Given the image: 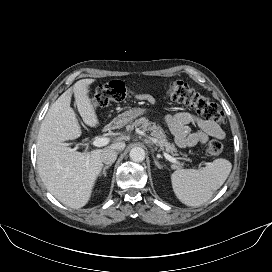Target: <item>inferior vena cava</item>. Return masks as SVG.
Masks as SVG:
<instances>
[{
	"label": "inferior vena cava",
	"mask_w": 272,
	"mask_h": 272,
	"mask_svg": "<svg viewBox=\"0 0 272 272\" xmlns=\"http://www.w3.org/2000/svg\"><path fill=\"white\" fill-rule=\"evenodd\" d=\"M117 158V152L116 150L110 149V148H106L102 151L101 153V160L103 163L105 164H112L115 162Z\"/></svg>",
	"instance_id": "1"
}]
</instances>
